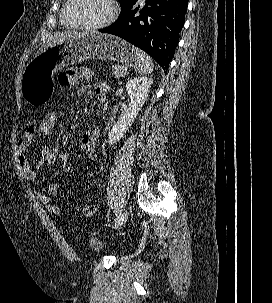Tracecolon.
I'll return each mask as SVG.
<instances>
[{"instance_id": "5ec220e1", "label": "colon", "mask_w": 272, "mask_h": 303, "mask_svg": "<svg viewBox=\"0 0 272 303\" xmlns=\"http://www.w3.org/2000/svg\"><path fill=\"white\" fill-rule=\"evenodd\" d=\"M59 110L57 107L49 108L37 123V135L43 139L51 138L57 130L59 124ZM96 212V206L89 204L82 210L85 217H90Z\"/></svg>"}]
</instances>
